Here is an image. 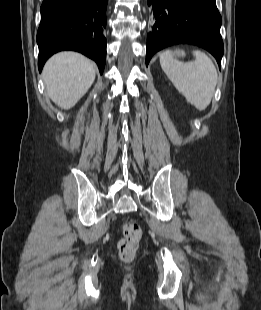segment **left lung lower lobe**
<instances>
[{"instance_id":"1","label":"left lung lower lobe","mask_w":261,"mask_h":310,"mask_svg":"<svg viewBox=\"0 0 261 310\" xmlns=\"http://www.w3.org/2000/svg\"><path fill=\"white\" fill-rule=\"evenodd\" d=\"M154 24L147 35L146 65L153 54L178 43L209 51L219 66L224 53L216 0H148Z\"/></svg>"}]
</instances>
